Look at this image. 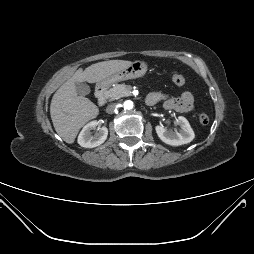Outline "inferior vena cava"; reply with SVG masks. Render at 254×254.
Segmentation results:
<instances>
[{
    "instance_id": "obj_1",
    "label": "inferior vena cava",
    "mask_w": 254,
    "mask_h": 254,
    "mask_svg": "<svg viewBox=\"0 0 254 254\" xmlns=\"http://www.w3.org/2000/svg\"><path fill=\"white\" fill-rule=\"evenodd\" d=\"M116 108H117V104L112 103V104L107 106L106 111H107V113L112 114L115 111Z\"/></svg>"
}]
</instances>
